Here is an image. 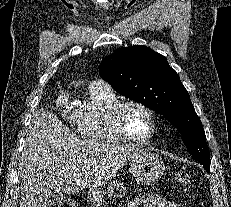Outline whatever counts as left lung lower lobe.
Wrapping results in <instances>:
<instances>
[{
    "mask_svg": "<svg viewBox=\"0 0 231 207\" xmlns=\"http://www.w3.org/2000/svg\"><path fill=\"white\" fill-rule=\"evenodd\" d=\"M204 168H205V170H206L207 172H210V167H209V166H204Z\"/></svg>",
    "mask_w": 231,
    "mask_h": 207,
    "instance_id": "obj_1",
    "label": "left lung lower lobe"
}]
</instances>
